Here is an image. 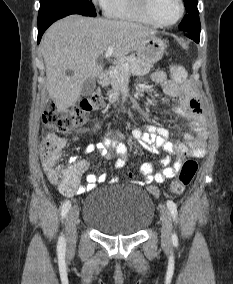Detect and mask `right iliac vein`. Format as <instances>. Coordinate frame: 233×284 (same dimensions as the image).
Listing matches in <instances>:
<instances>
[{
    "label": "right iliac vein",
    "instance_id": "obj_1",
    "mask_svg": "<svg viewBox=\"0 0 233 284\" xmlns=\"http://www.w3.org/2000/svg\"><path fill=\"white\" fill-rule=\"evenodd\" d=\"M79 215L77 206L72 207L66 217V240L69 248H72L76 242V221Z\"/></svg>",
    "mask_w": 233,
    "mask_h": 284
}]
</instances>
